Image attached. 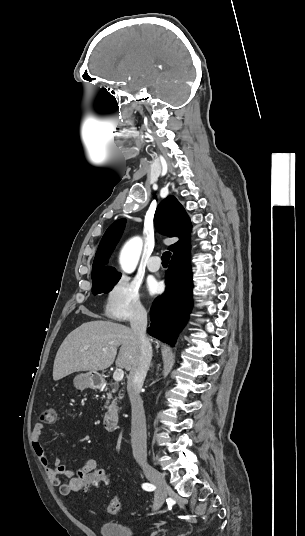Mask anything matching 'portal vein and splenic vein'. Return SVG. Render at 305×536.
I'll list each match as a JSON object with an SVG mask.
<instances>
[{
  "label": "portal vein and splenic vein",
  "instance_id": "18ae733b",
  "mask_svg": "<svg viewBox=\"0 0 305 536\" xmlns=\"http://www.w3.org/2000/svg\"><path fill=\"white\" fill-rule=\"evenodd\" d=\"M88 348L89 346H84V350H88ZM103 352H106V348H103ZM123 378H124L123 370H115L113 374V380H115V382H121Z\"/></svg>",
  "mask_w": 305,
  "mask_h": 536
}]
</instances>
